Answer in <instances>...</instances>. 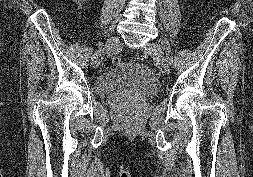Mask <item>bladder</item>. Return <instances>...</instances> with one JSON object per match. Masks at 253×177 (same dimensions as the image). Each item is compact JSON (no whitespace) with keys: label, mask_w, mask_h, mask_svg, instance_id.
<instances>
[{"label":"bladder","mask_w":253,"mask_h":177,"mask_svg":"<svg viewBox=\"0 0 253 177\" xmlns=\"http://www.w3.org/2000/svg\"><path fill=\"white\" fill-rule=\"evenodd\" d=\"M160 88L149 67L127 62L108 68L96 80L95 90L100 97L131 96L146 98Z\"/></svg>","instance_id":"bladder-1"}]
</instances>
